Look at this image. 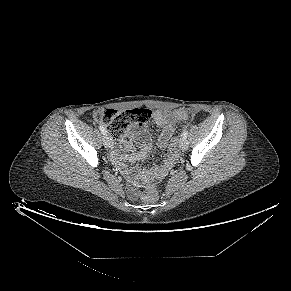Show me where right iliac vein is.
Segmentation results:
<instances>
[{
	"instance_id": "obj_1",
	"label": "right iliac vein",
	"mask_w": 291,
	"mask_h": 291,
	"mask_svg": "<svg viewBox=\"0 0 291 291\" xmlns=\"http://www.w3.org/2000/svg\"><path fill=\"white\" fill-rule=\"evenodd\" d=\"M103 142H104V145L106 148L110 149L113 147V142L109 136H107V135L104 136Z\"/></svg>"
}]
</instances>
